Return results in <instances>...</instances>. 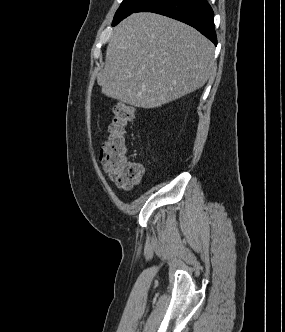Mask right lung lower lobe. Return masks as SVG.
I'll return each instance as SVG.
<instances>
[{
    "label": "right lung lower lobe",
    "mask_w": 285,
    "mask_h": 332,
    "mask_svg": "<svg viewBox=\"0 0 285 332\" xmlns=\"http://www.w3.org/2000/svg\"><path fill=\"white\" fill-rule=\"evenodd\" d=\"M134 12H154L184 22L217 45L214 13L206 0H148Z\"/></svg>",
    "instance_id": "obj_1"
}]
</instances>
